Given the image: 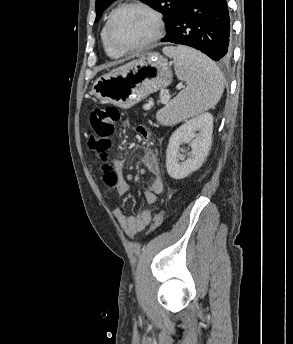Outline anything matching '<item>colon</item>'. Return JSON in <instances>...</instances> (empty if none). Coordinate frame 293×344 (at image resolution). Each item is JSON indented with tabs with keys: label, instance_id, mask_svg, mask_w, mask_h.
I'll list each match as a JSON object with an SVG mask.
<instances>
[{
	"label": "colon",
	"instance_id": "5ec220e1",
	"mask_svg": "<svg viewBox=\"0 0 293 344\" xmlns=\"http://www.w3.org/2000/svg\"><path fill=\"white\" fill-rule=\"evenodd\" d=\"M120 120V112L115 107L94 108L89 115L91 129L94 137L90 140L92 149L100 152H106L112 146V138L115 132L116 124ZM138 137L144 141L150 139V133L144 127L136 129ZM113 185V184H109ZM163 222V214L158 211L153 215V222L150 231L158 229Z\"/></svg>",
	"mask_w": 293,
	"mask_h": 344
}]
</instances>
